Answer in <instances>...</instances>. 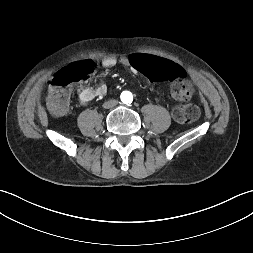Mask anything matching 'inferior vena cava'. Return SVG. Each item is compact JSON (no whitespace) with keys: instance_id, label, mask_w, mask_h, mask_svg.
<instances>
[{"instance_id":"obj_1","label":"inferior vena cava","mask_w":253,"mask_h":253,"mask_svg":"<svg viewBox=\"0 0 253 253\" xmlns=\"http://www.w3.org/2000/svg\"><path fill=\"white\" fill-rule=\"evenodd\" d=\"M117 104H118L117 100H115V99L114 100H109V101H107L103 104V107L104 108H112V107H115Z\"/></svg>"}]
</instances>
